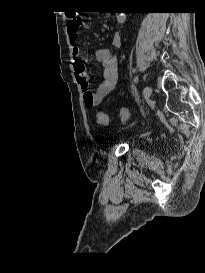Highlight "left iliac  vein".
<instances>
[{"mask_svg": "<svg viewBox=\"0 0 205 273\" xmlns=\"http://www.w3.org/2000/svg\"><path fill=\"white\" fill-rule=\"evenodd\" d=\"M152 94V89L150 86H145L144 89H143V92H142V96L143 98L146 100V99H149V97L151 96Z\"/></svg>", "mask_w": 205, "mask_h": 273, "instance_id": "left-iliac-vein-1", "label": "left iliac vein"}]
</instances>
